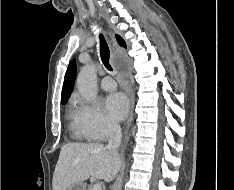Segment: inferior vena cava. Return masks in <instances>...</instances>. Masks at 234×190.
<instances>
[{
	"label": "inferior vena cava",
	"instance_id": "1",
	"mask_svg": "<svg viewBox=\"0 0 234 190\" xmlns=\"http://www.w3.org/2000/svg\"><path fill=\"white\" fill-rule=\"evenodd\" d=\"M122 140L121 127L116 122L110 123V137L106 148L113 154H118V148Z\"/></svg>",
	"mask_w": 234,
	"mask_h": 190
}]
</instances>
